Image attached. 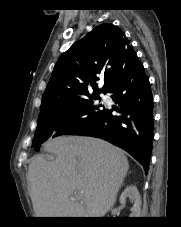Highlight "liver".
<instances>
[{
	"label": "liver",
	"mask_w": 181,
	"mask_h": 227,
	"mask_svg": "<svg viewBox=\"0 0 181 227\" xmlns=\"http://www.w3.org/2000/svg\"><path fill=\"white\" fill-rule=\"evenodd\" d=\"M45 150L56 158L48 161L38 155L28 169L35 215L103 217L129 168L124 152L104 140L84 136L52 139Z\"/></svg>",
	"instance_id": "1"
}]
</instances>
